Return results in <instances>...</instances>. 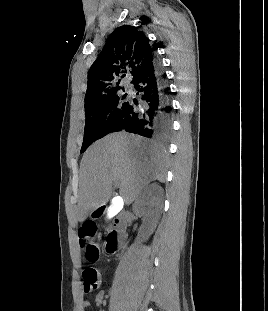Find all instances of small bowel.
<instances>
[{
  "mask_svg": "<svg viewBox=\"0 0 268 311\" xmlns=\"http://www.w3.org/2000/svg\"><path fill=\"white\" fill-rule=\"evenodd\" d=\"M95 299L96 301L100 302L103 299V292L102 291H98L95 295ZM83 307L86 308L89 306V302L88 301H83L82 303Z\"/></svg>",
  "mask_w": 268,
  "mask_h": 311,
  "instance_id": "c3829d8e",
  "label": "small bowel"
}]
</instances>
